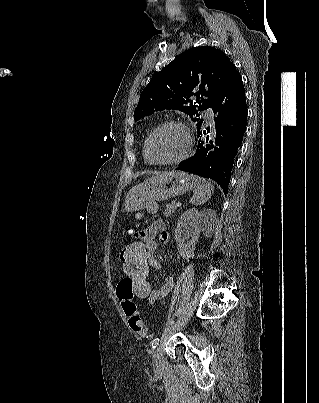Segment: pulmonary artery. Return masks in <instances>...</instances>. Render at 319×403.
Masks as SVG:
<instances>
[{
    "mask_svg": "<svg viewBox=\"0 0 319 403\" xmlns=\"http://www.w3.org/2000/svg\"><path fill=\"white\" fill-rule=\"evenodd\" d=\"M206 121H208L210 123L213 122V115H212V112L210 110H208L206 112Z\"/></svg>",
    "mask_w": 319,
    "mask_h": 403,
    "instance_id": "1",
    "label": "pulmonary artery"
}]
</instances>
